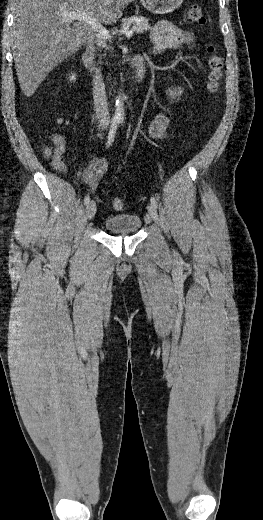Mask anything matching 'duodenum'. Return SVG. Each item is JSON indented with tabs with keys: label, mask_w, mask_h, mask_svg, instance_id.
Instances as JSON below:
<instances>
[{
	"label": "duodenum",
	"mask_w": 263,
	"mask_h": 520,
	"mask_svg": "<svg viewBox=\"0 0 263 520\" xmlns=\"http://www.w3.org/2000/svg\"><path fill=\"white\" fill-rule=\"evenodd\" d=\"M94 47L89 46L82 56L83 67L91 78L94 76ZM145 76V57L138 54L133 59V73L130 79L131 84H138L142 81Z\"/></svg>",
	"instance_id": "obj_1"
}]
</instances>
